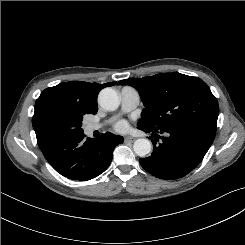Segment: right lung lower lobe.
<instances>
[{
  "mask_svg": "<svg viewBox=\"0 0 245 245\" xmlns=\"http://www.w3.org/2000/svg\"><path fill=\"white\" fill-rule=\"evenodd\" d=\"M122 136L110 132L92 140L84 133L55 140L46 154V160L62 176L72 180H90L110 165L114 148L123 143Z\"/></svg>",
  "mask_w": 245,
  "mask_h": 245,
  "instance_id": "98d812e1",
  "label": "right lung lower lobe"
}]
</instances>
